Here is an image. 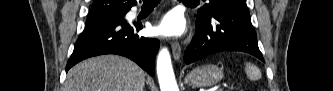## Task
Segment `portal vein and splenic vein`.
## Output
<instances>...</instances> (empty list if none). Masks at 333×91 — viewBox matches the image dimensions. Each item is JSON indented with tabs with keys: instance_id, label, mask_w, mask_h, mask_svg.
Here are the masks:
<instances>
[{
	"instance_id": "1",
	"label": "portal vein and splenic vein",
	"mask_w": 333,
	"mask_h": 91,
	"mask_svg": "<svg viewBox=\"0 0 333 91\" xmlns=\"http://www.w3.org/2000/svg\"><path fill=\"white\" fill-rule=\"evenodd\" d=\"M222 89H220L219 86H216V87H213V88H210L208 89L207 91H221Z\"/></svg>"
}]
</instances>
